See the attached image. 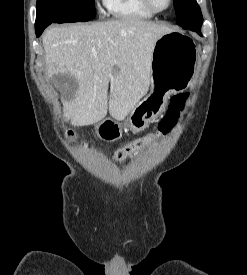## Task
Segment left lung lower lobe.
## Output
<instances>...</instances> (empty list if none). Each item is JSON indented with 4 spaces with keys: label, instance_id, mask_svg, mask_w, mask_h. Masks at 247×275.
<instances>
[{
    "label": "left lung lower lobe",
    "instance_id": "left-lung-lower-lobe-1",
    "mask_svg": "<svg viewBox=\"0 0 247 275\" xmlns=\"http://www.w3.org/2000/svg\"><path fill=\"white\" fill-rule=\"evenodd\" d=\"M191 31H196L197 33H199L200 36L202 35V34L199 32V30H191Z\"/></svg>",
    "mask_w": 247,
    "mask_h": 275
}]
</instances>
